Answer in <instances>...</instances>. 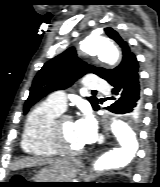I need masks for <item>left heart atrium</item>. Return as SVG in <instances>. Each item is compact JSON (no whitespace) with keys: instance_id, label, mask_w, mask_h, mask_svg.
<instances>
[{"instance_id":"left-heart-atrium-1","label":"left heart atrium","mask_w":160,"mask_h":187,"mask_svg":"<svg viewBox=\"0 0 160 187\" xmlns=\"http://www.w3.org/2000/svg\"><path fill=\"white\" fill-rule=\"evenodd\" d=\"M75 130L80 141L85 145L91 143L96 137V124L90 115H84L74 122Z\"/></svg>"}]
</instances>
